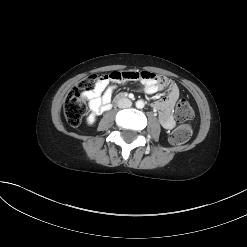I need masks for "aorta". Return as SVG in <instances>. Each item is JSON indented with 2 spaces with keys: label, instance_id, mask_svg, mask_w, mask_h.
Instances as JSON below:
<instances>
[{
  "label": "aorta",
  "instance_id": "obj_1",
  "mask_svg": "<svg viewBox=\"0 0 247 247\" xmlns=\"http://www.w3.org/2000/svg\"><path fill=\"white\" fill-rule=\"evenodd\" d=\"M144 106H145V103H144L143 100H138V101H136V107H137L138 109H142Z\"/></svg>",
  "mask_w": 247,
  "mask_h": 247
}]
</instances>
